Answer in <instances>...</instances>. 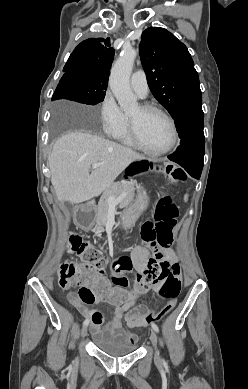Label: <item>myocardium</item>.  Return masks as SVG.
I'll return each instance as SVG.
<instances>
[{
    "label": "myocardium",
    "mask_w": 248,
    "mask_h": 389,
    "mask_svg": "<svg viewBox=\"0 0 248 389\" xmlns=\"http://www.w3.org/2000/svg\"><path fill=\"white\" fill-rule=\"evenodd\" d=\"M139 107L144 112H151L152 111V112H157L160 115H162L170 124L171 131H172V138H171L169 145L166 146L165 148L159 149V150L151 149V148L147 147L144 144V142L142 141V139L139 135V132H138L136 121L132 117L128 116L129 132H130L131 138L133 139L135 144L138 146V148H140L145 153L150 154V155H154V156L164 155V154L170 152L172 149H174V147L176 146L177 141H178V129H177L176 123H175L174 119L172 118V116L170 114H168L160 106L153 104V103H142L139 105Z\"/></svg>",
    "instance_id": "1"
}]
</instances>
